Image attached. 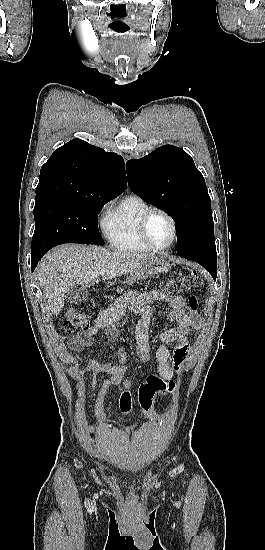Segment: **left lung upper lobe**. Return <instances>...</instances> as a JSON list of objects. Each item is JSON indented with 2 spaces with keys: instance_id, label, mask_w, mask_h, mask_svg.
Returning <instances> with one entry per match:
<instances>
[{
  "instance_id": "1",
  "label": "left lung upper lobe",
  "mask_w": 265,
  "mask_h": 550,
  "mask_svg": "<svg viewBox=\"0 0 265 550\" xmlns=\"http://www.w3.org/2000/svg\"><path fill=\"white\" fill-rule=\"evenodd\" d=\"M126 171L131 191L174 219L181 257L205 249L216 253L206 183L183 149L164 145L141 159L127 161Z\"/></svg>"
}]
</instances>
